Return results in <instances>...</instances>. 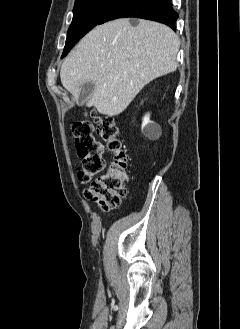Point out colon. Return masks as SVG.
<instances>
[{
	"label": "colon",
	"mask_w": 240,
	"mask_h": 329,
	"mask_svg": "<svg viewBox=\"0 0 240 329\" xmlns=\"http://www.w3.org/2000/svg\"><path fill=\"white\" fill-rule=\"evenodd\" d=\"M97 130L105 146L113 153V160L106 171L94 180L86 192V198L103 211L117 208L126 195L128 180V155L119 139L116 119L111 115L97 116ZM89 121L78 120L72 125L75 146L80 159L79 179L90 181L103 170L102 145L92 134Z\"/></svg>",
	"instance_id": "obj_1"
}]
</instances>
